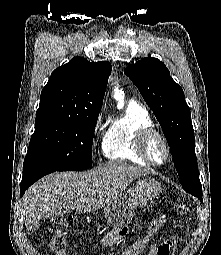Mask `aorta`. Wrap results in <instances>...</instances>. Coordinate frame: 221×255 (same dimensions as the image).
I'll return each instance as SVG.
<instances>
[{
	"mask_svg": "<svg viewBox=\"0 0 221 255\" xmlns=\"http://www.w3.org/2000/svg\"><path fill=\"white\" fill-rule=\"evenodd\" d=\"M113 97L118 102V108H122L124 106L125 94L118 86L113 90Z\"/></svg>",
	"mask_w": 221,
	"mask_h": 255,
	"instance_id": "762f6f07",
	"label": "aorta"
}]
</instances>
